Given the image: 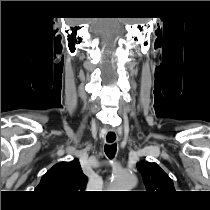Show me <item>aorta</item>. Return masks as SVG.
<instances>
[{
    "label": "aorta",
    "mask_w": 210,
    "mask_h": 210,
    "mask_svg": "<svg viewBox=\"0 0 210 210\" xmlns=\"http://www.w3.org/2000/svg\"><path fill=\"white\" fill-rule=\"evenodd\" d=\"M137 183L136 176L124 170H117L113 173L111 178V189L118 191H129L134 188Z\"/></svg>",
    "instance_id": "762f6f07"
}]
</instances>
